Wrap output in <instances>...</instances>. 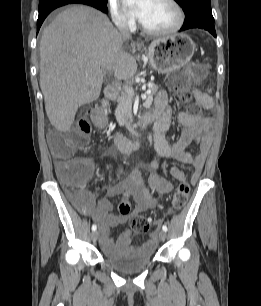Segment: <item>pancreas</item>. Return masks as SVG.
<instances>
[{"mask_svg": "<svg viewBox=\"0 0 261 306\" xmlns=\"http://www.w3.org/2000/svg\"><path fill=\"white\" fill-rule=\"evenodd\" d=\"M149 93L147 97H152L157 93L158 86L150 82L148 83ZM132 99L133 95L127 93L125 90H122L117 96V107L115 110V117L117 122L123 126L130 125V119L132 117Z\"/></svg>", "mask_w": 261, "mask_h": 306, "instance_id": "obj_1", "label": "pancreas"}]
</instances>
